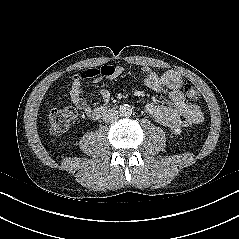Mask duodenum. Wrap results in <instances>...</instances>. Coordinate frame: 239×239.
Listing matches in <instances>:
<instances>
[{
	"label": "duodenum",
	"mask_w": 239,
	"mask_h": 239,
	"mask_svg": "<svg viewBox=\"0 0 239 239\" xmlns=\"http://www.w3.org/2000/svg\"><path fill=\"white\" fill-rule=\"evenodd\" d=\"M105 112L106 111L104 109H97L94 111L93 117L97 119V118L101 117Z\"/></svg>",
	"instance_id": "duodenum-1"
}]
</instances>
